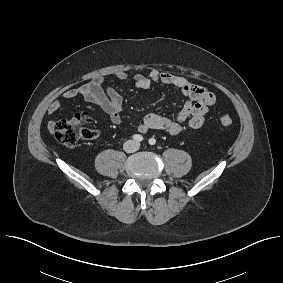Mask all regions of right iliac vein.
<instances>
[{"instance_id": "obj_1", "label": "right iliac vein", "mask_w": 283, "mask_h": 283, "mask_svg": "<svg viewBox=\"0 0 283 283\" xmlns=\"http://www.w3.org/2000/svg\"><path fill=\"white\" fill-rule=\"evenodd\" d=\"M131 147H132V143H131V142L126 143V145H125V148H126V149H129V148H131Z\"/></svg>"}]
</instances>
